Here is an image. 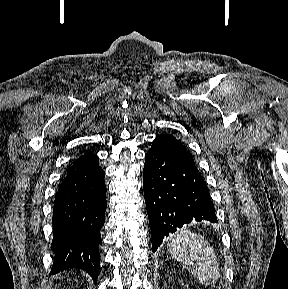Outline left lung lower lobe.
<instances>
[{
	"label": "left lung lower lobe",
	"instance_id": "left-lung-lower-lobe-1",
	"mask_svg": "<svg viewBox=\"0 0 288 289\" xmlns=\"http://www.w3.org/2000/svg\"><path fill=\"white\" fill-rule=\"evenodd\" d=\"M145 160L143 188L153 252L165 236L192 220L217 222L209 189L193 162L157 138Z\"/></svg>",
	"mask_w": 288,
	"mask_h": 289
}]
</instances>
